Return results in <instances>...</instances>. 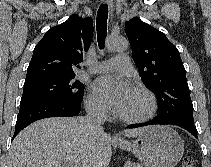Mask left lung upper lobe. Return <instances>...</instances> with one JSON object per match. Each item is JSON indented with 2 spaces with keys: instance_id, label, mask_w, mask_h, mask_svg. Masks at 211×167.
<instances>
[{
  "instance_id": "obj_1",
  "label": "left lung upper lobe",
  "mask_w": 211,
  "mask_h": 167,
  "mask_svg": "<svg viewBox=\"0 0 211 167\" xmlns=\"http://www.w3.org/2000/svg\"><path fill=\"white\" fill-rule=\"evenodd\" d=\"M132 56L144 85L158 98V119L194 123L190 98L178 49L164 33L134 17L125 24Z\"/></svg>"
}]
</instances>
